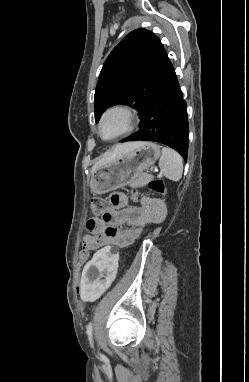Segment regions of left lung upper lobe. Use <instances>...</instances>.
I'll list each match as a JSON object with an SVG mask.
<instances>
[{
  "label": "left lung upper lobe",
  "instance_id": "1",
  "mask_svg": "<svg viewBox=\"0 0 249 382\" xmlns=\"http://www.w3.org/2000/svg\"><path fill=\"white\" fill-rule=\"evenodd\" d=\"M172 64L160 40L137 29L126 35L107 57L96 86L95 120L113 105H129L140 118Z\"/></svg>",
  "mask_w": 249,
  "mask_h": 382
}]
</instances>
